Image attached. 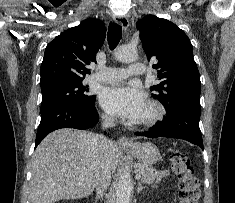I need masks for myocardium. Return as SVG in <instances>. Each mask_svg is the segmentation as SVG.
Returning <instances> with one entry per match:
<instances>
[{"label":"myocardium","mask_w":235,"mask_h":203,"mask_svg":"<svg viewBox=\"0 0 235 203\" xmlns=\"http://www.w3.org/2000/svg\"><path fill=\"white\" fill-rule=\"evenodd\" d=\"M149 115L141 120H137L135 125L140 128L148 129L157 125L165 116L164 106L157 101H149L146 105Z\"/></svg>","instance_id":"obj_1"}]
</instances>
